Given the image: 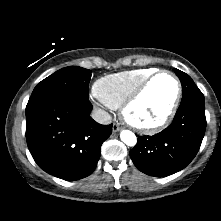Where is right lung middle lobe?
I'll return each mask as SVG.
<instances>
[{"label":"right lung middle lobe","instance_id":"obj_1","mask_svg":"<svg viewBox=\"0 0 221 221\" xmlns=\"http://www.w3.org/2000/svg\"><path fill=\"white\" fill-rule=\"evenodd\" d=\"M90 78L91 71L89 69L77 66L62 68L37 84L27 106L54 97H88Z\"/></svg>","mask_w":221,"mask_h":221}]
</instances>
